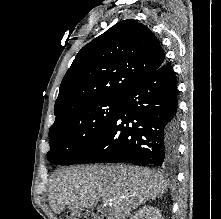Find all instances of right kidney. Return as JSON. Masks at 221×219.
<instances>
[{
    "instance_id": "right-kidney-1",
    "label": "right kidney",
    "mask_w": 221,
    "mask_h": 219,
    "mask_svg": "<svg viewBox=\"0 0 221 219\" xmlns=\"http://www.w3.org/2000/svg\"><path fill=\"white\" fill-rule=\"evenodd\" d=\"M130 219H163L160 210L153 206H143Z\"/></svg>"
}]
</instances>
